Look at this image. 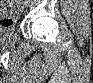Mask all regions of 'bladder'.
Returning <instances> with one entry per match:
<instances>
[{
  "mask_svg": "<svg viewBox=\"0 0 93 83\" xmlns=\"http://www.w3.org/2000/svg\"><path fill=\"white\" fill-rule=\"evenodd\" d=\"M13 34H14L13 29L6 28L5 25H4V27L1 28V37H0V40L5 41L8 38L12 37Z\"/></svg>",
  "mask_w": 93,
  "mask_h": 83,
  "instance_id": "1",
  "label": "bladder"
}]
</instances>
